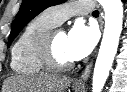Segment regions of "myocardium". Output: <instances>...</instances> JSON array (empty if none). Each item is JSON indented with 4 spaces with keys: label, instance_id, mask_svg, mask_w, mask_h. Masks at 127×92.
Listing matches in <instances>:
<instances>
[{
    "label": "myocardium",
    "instance_id": "1",
    "mask_svg": "<svg viewBox=\"0 0 127 92\" xmlns=\"http://www.w3.org/2000/svg\"><path fill=\"white\" fill-rule=\"evenodd\" d=\"M59 28H52L45 32L39 40L38 57L45 67L52 71H66L73 67L74 62L60 60L55 52L54 39Z\"/></svg>",
    "mask_w": 127,
    "mask_h": 92
}]
</instances>
